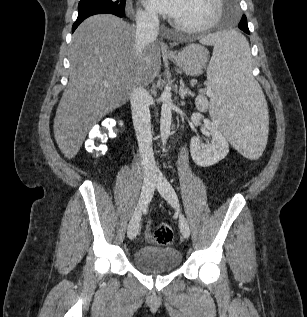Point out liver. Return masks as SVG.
<instances>
[{
    "instance_id": "1",
    "label": "liver",
    "mask_w": 307,
    "mask_h": 317,
    "mask_svg": "<svg viewBox=\"0 0 307 317\" xmlns=\"http://www.w3.org/2000/svg\"><path fill=\"white\" fill-rule=\"evenodd\" d=\"M135 32V27L110 14L90 17L74 32L69 83L53 126L58 147L66 158L78 153L94 124L130 98L132 86H147L159 74L158 44L149 43L135 62ZM214 99L215 95L211 101Z\"/></svg>"
}]
</instances>
